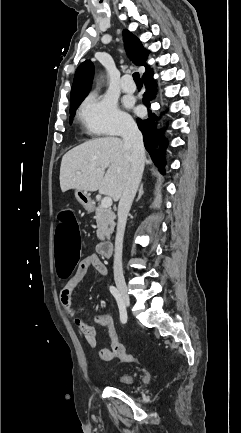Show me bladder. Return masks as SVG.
<instances>
[{
  "label": "bladder",
  "instance_id": "31cf9c89",
  "mask_svg": "<svg viewBox=\"0 0 241 433\" xmlns=\"http://www.w3.org/2000/svg\"><path fill=\"white\" fill-rule=\"evenodd\" d=\"M116 381L121 385H130L134 382V377L131 374H120L116 377Z\"/></svg>",
  "mask_w": 241,
  "mask_h": 433
}]
</instances>
